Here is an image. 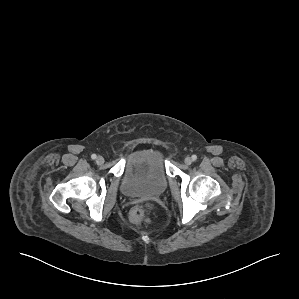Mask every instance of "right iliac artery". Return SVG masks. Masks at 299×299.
I'll return each mask as SVG.
<instances>
[{"label": "right iliac artery", "mask_w": 299, "mask_h": 299, "mask_svg": "<svg viewBox=\"0 0 299 299\" xmlns=\"http://www.w3.org/2000/svg\"><path fill=\"white\" fill-rule=\"evenodd\" d=\"M91 158H92V159H96V158H97L96 154H92V155H91Z\"/></svg>", "instance_id": "obj_1"}]
</instances>
